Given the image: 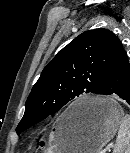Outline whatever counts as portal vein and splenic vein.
I'll use <instances>...</instances> for the list:
<instances>
[{
  "mask_svg": "<svg viewBox=\"0 0 130 153\" xmlns=\"http://www.w3.org/2000/svg\"><path fill=\"white\" fill-rule=\"evenodd\" d=\"M112 147H113L112 144L108 145L106 149H103V150L101 151V153H106V150H108V149H110V148H112Z\"/></svg>",
  "mask_w": 130,
  "mask_h": 153,
  "instance_id": "obj_1",
  "label": "portal vein and splenic vein"
}]
</instances>
